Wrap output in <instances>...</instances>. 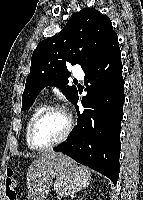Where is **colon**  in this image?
I'll list each match as a JSON object with an SVG mask.
<instances>
[{
  "mask_svg": "<svg viewBox=\"0 0 143 200\" xmlns=\"http://www.w3.org/2000/svg\"><path fill=\"white\" fill-rule=\"evenodd\" d=\"M5 200H17L16 195V180L13 170L9 169L5 183Z\"/></svg>",
  "mask_w": 143,
  "mask_h": 200,
  "instance_id": "5ec220e1",
  "label": "colon"
}]
</instances>
